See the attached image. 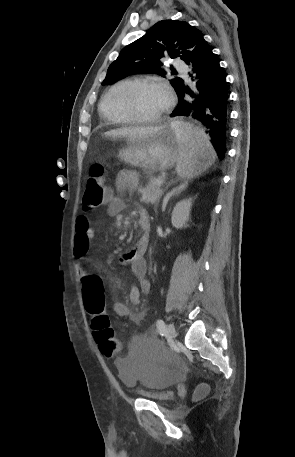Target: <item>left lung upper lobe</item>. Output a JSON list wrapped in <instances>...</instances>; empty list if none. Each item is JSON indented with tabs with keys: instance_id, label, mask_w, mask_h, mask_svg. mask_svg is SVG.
Returning <instances> with one entry per match:
<instances>
[{
	"instance_id": "obj_1",
	"label": "left lung upper lobe",
	"mask_w": 295,
	"mask_h": 457,
	"mask_svg": "<svg viewBox=\"0 0 295 457\" xmlns=\"http://www.w3.org/2000/svg\"><path fill=\"white\" fill-rule=\"evenodd\" d=\"M202 39V32L185 21H159L144 36L121 50L118 58L109 66L102 84L134 74H157L165 77L166 72L160 58L167 54L170 58L180 57L187 62ZM170 83L176 93L184 85L181 78H174Z\"/></svg>"
}]
</instances>
